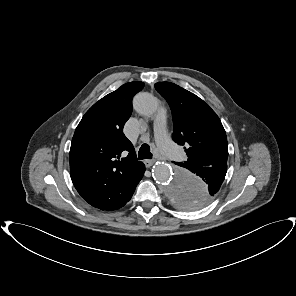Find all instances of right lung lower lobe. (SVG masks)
Segmentation results:
<instances>
[{
  "label": "right lung lower lobe",
  "mask_w": 296,
  "mask_h": 296,
  "mask_svg": "<svg viewBox=\"0 0 296 296\" xmlns=\"http://www.w3.org/2000/svg\"><path fill=\"white\" fill-rule=\"evenodd\" d=\"M144 171H145V165L142 163V165L138 168V170L135 174V178H134L135 187L139 183V181L142 179V177L144 175Z\"/></svg>",
  "instance_id": "1"
}]
</instances>
